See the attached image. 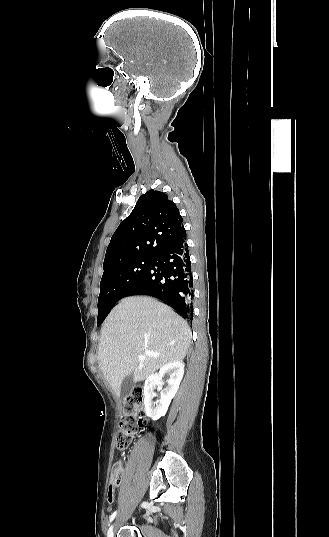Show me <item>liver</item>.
Segmentation results:
<instances>
[{
  "mask_svg": "<svg viewBox=\"0 0 329 537\" xmlns=\"http://www.w3.org/2000/svg\"><path fill=\"white\" fill-rule=\"evenodd\" d=\"M191 342L187 322L152 297H127L116 305L101 329L98 364L117 396L123 379L142 381L168 363L182 361ZM147 352L156 356H148ZM145 355L143 362L138 360Z\"/></svg>",
  "mask_w": 329,
  "mask_h": 537,
  "instance_id": "1",
  "label": "liver"
}]
</instances>
